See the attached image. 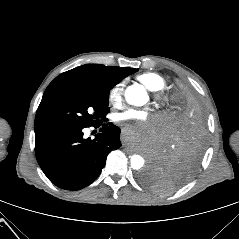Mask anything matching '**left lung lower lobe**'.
Masks as SVG:
<instances>
[{"label": "left lung lower lobe", "instance_id": "left-lung-lower-lobe-1", "mask_svg": "<svg viewBox=\"0 0 239 239\" xmlns=\"http://www.w3.org/2000/svg\"><path fill=\"white\" fill-rule=\"evenodd\" d=\"M205 142V120L199 99L181 102L176 124L163 137L153 154L151 168L171 181L174 188L183 185L200 161Z\"/></svg>", "mask_w": 239, "mask_h": 239}]
</instances>
